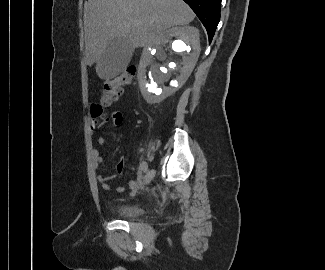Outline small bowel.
<instances>
[{
	"mask_svg": "<svg viewBox=\"0 0 325 270\" xmlns=\"http://www.w3.org/2000/svg\"><path fill=\"white\" fill-rule=\"evenodd\" d=\"M109 103H96L91 105V115L93 117L92 120V127L96 128L100 124L97 121V118L99 121H104L103 124H110L112 126H118L122 123V113L120 111H114L111 115V118H107L105 110H109ZM97 144L103 148L105 146V139L103 137L97 138ZM93 158L95 162V167L98 168L99 165L104 161V155L102 152H100L98 149H95L93 151ZM125 167V160L122 159L116 166L117 173L121 174ZM114 178V175H104V174H98L97 180L100 183L101 187L104 190H110V180ZM140 182V175L138 178L129 180V188L132 192H136L139 187ZM116 191L121 193L124 191L123 186H117Z\"/></svg>",
	"mask_w": 325,
	"mask_h": 270,
	"instance_id": "c3829d8e",
	"label": "small bowel"
}]
</instances>
